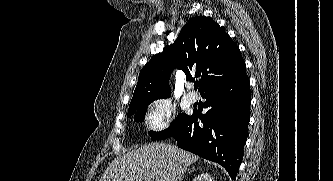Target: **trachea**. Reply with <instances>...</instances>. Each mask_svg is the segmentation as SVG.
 Listing matches in <instances>:
<instances>
[{"label":"trachea","instance_id":"trachea-1","mask_svg":"<svg viewBox=\"0 0 333 181\" xmlns=\"http://www.w3.org/2000/svg\"><path fill=\"white\" fill-rule=\"evenodd\" d=\"M194 88H195V89H198V84H195V85H194Z\"/></svg>","mask_w":333,"mask_h":181}]
</instances>
